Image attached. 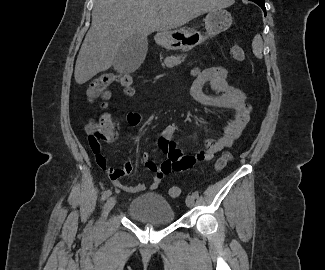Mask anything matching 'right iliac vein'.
Returning <instances> with one entry per match:
<instances>
[{
    "label": "right iliac vein",
    "mask_w": 325,
    "mask_h": 270,
    "mask_svg": "<svg viewBox=\"0 0 325 270\" xmlns=\"http://www.w3.org/2000/svg\"><path fill=\"white\" fill-rule=\"evenodd\" d=\"M116 204V198L115 197H110L107 199L104 207H103V212H102V216L100 219V223H103L104 220L107 218L108 213L110 212V210L115 206Z\"/></svg>",
    "instance_id": "obj_1"
}]
</instances>
